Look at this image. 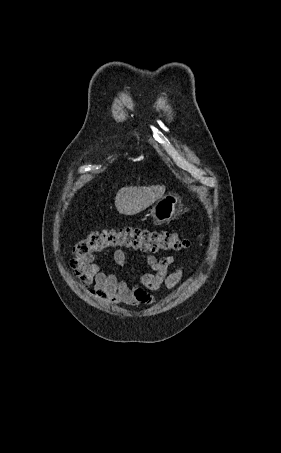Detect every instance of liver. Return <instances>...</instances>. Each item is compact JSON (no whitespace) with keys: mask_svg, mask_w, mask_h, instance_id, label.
<instances>
[{"mask_svg":"<svg viewBox=\"0 0 281 453\" xmlns=\"http://www.w3.org/2000/svg\"><path fill=\"white\" fill-rule=\"evenodd\" d=\"M166 186L152 184V186H123L115 196V206L120 214H137L162 198Z\"/></svg>","mask_w":281,"mask_h":453,"instance_id":"1","label":"liver"}]
</instances>
